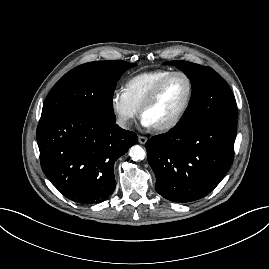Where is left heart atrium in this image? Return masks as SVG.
I'll return each instance as SVG.
<instances>
[{
    "label": "left heart atrium",
    "mask_w": 269,
    "mask_h": 269,
    "mask_svg": "<svg viewBox=\"0 0 269 269\" xmlns=\"http://www.w3.org/2000/svg\"><path fill=\"white\" fill-rule=\"evenodd\" d=\"M142 125L145 127H152V125L150 124V122H148L146 119H142Z\"/></svg>",
    "instance_id": "39dd6f15"
}]
</instances>
